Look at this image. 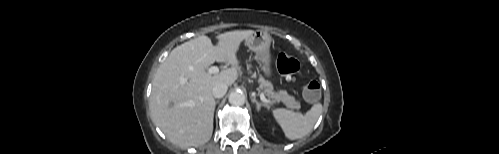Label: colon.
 <instances>
[{"mask_svg": "<svg viewBox=\"0 0 499 154\" xmlns=\"http://www.w3.org/2000/svg\"><path fill=\"white\" fill-rule=\"evenodd\" d=\"M279 72L288 77H296L300 74V65L298 60L288 54H280L277 60ZM304 98L309 102H315L321 94L320 84L317 81H310L302 88Z\"/></svg>", "mask_w": 499, "mask_h": 154, "instance_id": "1", "label": "colon"}]
</instances>
